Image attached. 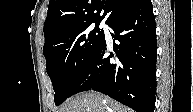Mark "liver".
I'll return each instance as SVG.
<instances>
[{"label":"liver","instance_id":"liver-1","mask_svg":"<svg viewBox=\"0 0 193 112\" xmlns=\"http://www.w3.org/2000/svg\"><path fill=\"white\" fill-rule=\"evenodd\" d=\"M59 112H132L121 104L89 91L80 93L63 104Z\"/></svg>","mask_w":193,"mask_h":112}]
</instances>
